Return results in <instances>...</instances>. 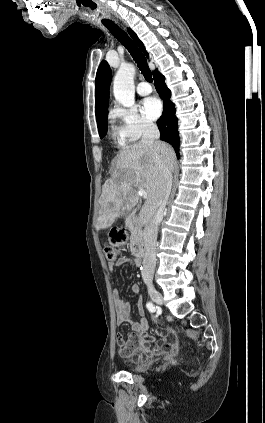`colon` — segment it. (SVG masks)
<instances>
[{
  "label": "colon",
  "instance_id": "5ec220e1",
  "mask_svg": "<svg viewBox=\"0 0 265 423\" xmlns=\"http://www.w3.org/2000/svg\"><path fill=\"white\" fill-rule=\"evenodd\" d=\"M128 235L123 229H113L110 233V245L104 249L107 260L114 261L117 257L116 247L126 244Z\"/></svg>",
  "mask_w": 265,
  "mask_h": 423
}]
</instances>
